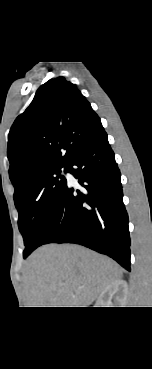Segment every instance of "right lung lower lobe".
<instances>
[{"label": "right lung lower lobe", "instance_id": "98d812e1", "mask_svg": "<svg viewBox=\"0 0 152 369\" xmlns=\"http://www.w3.org/2000/svg\"><path fill=\"white\" fill-rule=\"evenodd\" d=\"M67 166L83 189L66 185L41 245H84L130 271L131 242L120 171L104 129L84 143Z\"/></svg>", "mask_w": 152, "mask_h": 369}]
</instances>
